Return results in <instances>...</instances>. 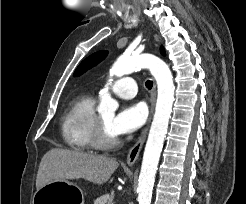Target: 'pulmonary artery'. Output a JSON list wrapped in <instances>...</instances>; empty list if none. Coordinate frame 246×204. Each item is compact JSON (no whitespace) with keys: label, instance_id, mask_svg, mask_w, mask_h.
<instances>
[{"label":"pulmonary artery","instance_id":"obj_1","mask_svg":"<svg viewBox=\"0 0 246 204\" xmlns=\"http://www.w3.org/2000/svg\"><path fill=\"white\" fill-rule=\"evenodd\" d=\"M111 91L123 99H131L137 94V83L132 77H122L110 86Z\"/></svg>","mask_w":246,"mask_h":204}]
</instances>
